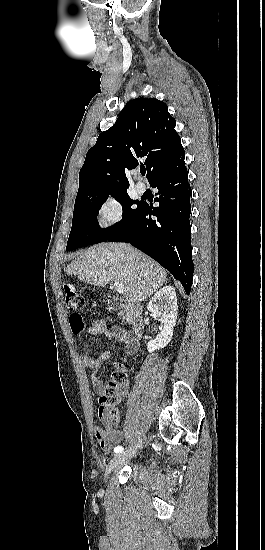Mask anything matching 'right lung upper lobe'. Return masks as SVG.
Wrapping results in <instances>:
<instances>
[{
  "label": "right lung upper lobe",
  "mask_w": 265,
  "mask_h": 550,
  "mask_svg": "<svg viewBox=\"0 0 265 550\" xmlns=\"http://www.w3.org/2000/svg\"><path fill=\"white\" fill-rule=\"evenodd\" d=\"M168 107L156 98L133 99L87 152L76 198L124 192L128 171L143 159L150 180L183 148Z\"/></svg>",
  "instance_id": "obj_1"
}]
</instances>
